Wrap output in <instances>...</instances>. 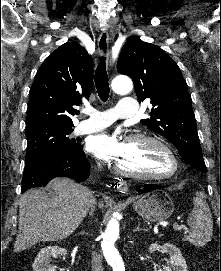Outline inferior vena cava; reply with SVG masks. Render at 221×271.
<instances>
[{
    "label": "inferior vena cava",
    "mask_w": 221,
    "mask_h": 271,
    "mask_svg": "<svg viewBox=\"0 0 221 271\" xmlns=\"http://www.w3.org/2000/svg\"><path fill=\"white\" fill-rule=\"evenodd\" d=\"M98 167H101L100 163H98ZM90 197H92V205L90 207L89 213L90 215H93L96 199L93 197V195H90ZM91 267L92 271H104V267L101 263V257L99 253H96V251H92Z\"/></svg>",
    "instance_id": "obj_1"
}]
</instances>
